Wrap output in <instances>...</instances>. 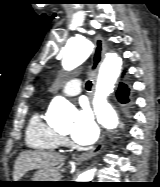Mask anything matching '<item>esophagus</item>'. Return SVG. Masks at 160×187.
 <instances>
[{"mask_svg":"<svg viewBox=\"0 0 160 187\" xmlns=\"http://www.w3.org/2000/svg\"><path fill=\"white\" fill-rule=\"evenodd\" d=\"M105 53H106L105 42L100 35H97L95 37L94 54H93V58H92L91 66H90V74L93 78V82H95L96 80L97 72H98L99 66L101 65L105 57ZM103 147H104V138L102 136L99 142L97 143V145L87 150L86 152L80 154L77 160L78 161L88 160L92 158L93 156H95L96 154H98L103 149Z\"/></svg>","mask_w":160,"mask_h":187,"instance_id":"1","label":"esophagus"}]
</instances>
